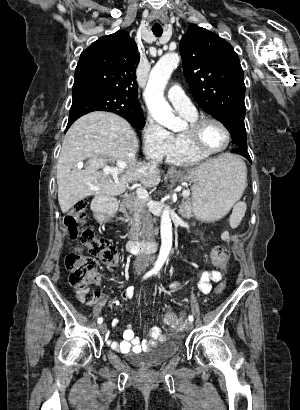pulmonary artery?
Returning <instances> with one entry per match:
<instances>
[{"label": "pulmonary artery", "instance_id": "pulmonary-artery-1", "mask_svg": "<svg viewBox=\"0 0 300 410\" xmlns=\"http://www.w3.org/2000/svg\"><path fill=\"white\" fill-rule=\"evenodd\" d=\"M167 98L174 109L180 113H195L196 108L186 94L178 87L172 86L167 91Z\"/></svg>", "mask_w": 300, "mask_h": 410}]
</instances>
